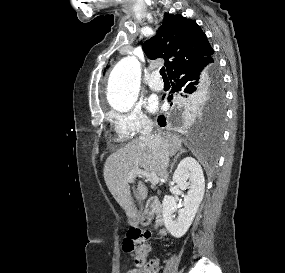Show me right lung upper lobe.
I'll list each match as a JSON object with an SVG mask.
<instances>
[{
    "label": "right lung upper lobe",
    "instance_id": "1",
    "mask_svg": "<svg viewBox=\"0 0 285 273\" xmlns=\"http://www.w3.org/2000/svg\"><path fill=\"white\" fill-rule=\"evenodd\" d=\"M143 49L150 59L166 60L168 76L174 70L214 53L195 21L169 14H164L158 33L144 42Z\"/></svg>",
    "mask_w": 285,
    "mask_h": 273
}]
</instances>
